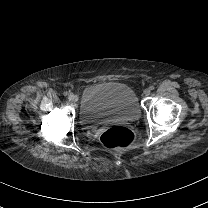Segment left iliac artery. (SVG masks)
<instances>
[{
	"label": "left iliac artery",
	"mask_w": 208,
	"mask_h": 208,
	"mask_svg": "<svg viewBox=\"0 0 208 208\" xmlns=\"http://www.w3.org/2000/svg\"><path fill=\"white\" fill-rule=\"evenodd\" d=\"M149 88H150V90H154L155 87L153 85H151Z\"/></svg>",
	"instance_id": "left-iliac-artery-1"
}]
</instances>
